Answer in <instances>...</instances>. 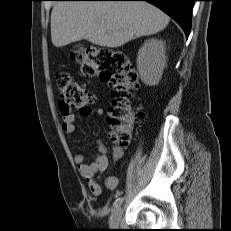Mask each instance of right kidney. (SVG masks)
<instances>
[{
    "label": "right kidney",
    "mask_w": 231,
    "mask_h": 231,
    "mask_svg": "<svg viewBox=\"0 0 231 231\" xmlns=\"http://www.w3.org/2000/svg\"><path fill=\"white\" fill-rule=\"evenodd\" d=\"M166 65L164 42L157 39L147 40L139 49L137 69L141 80L149 86L158 84Z\"/></svg>",
    "instance_id": "obj_1"
}]
</instances>
